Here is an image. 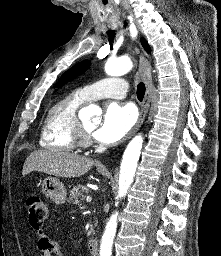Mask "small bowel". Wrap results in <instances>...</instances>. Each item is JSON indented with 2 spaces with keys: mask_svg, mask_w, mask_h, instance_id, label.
Returning a JSON list of instances; mask_svg holds the SVG:
<instances>
[{
  "mask_svg": "<svg viewBox=\"0 0 221 256\" xmlns=\"http://www.w3.org/2000/svg\"><path fill=\"white\" fill-rule=\"evenodd\" d=\"M38 248L42 253V256H64V253L60 245L46 236L44 233H40L38 238Z\"/></svg>",
  "mask_w": 221,
  "mask_h": 256,
  "instance_id": "small-bowel-1",
  "label": "small bowel"
}]
</instances>
